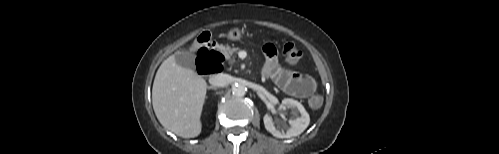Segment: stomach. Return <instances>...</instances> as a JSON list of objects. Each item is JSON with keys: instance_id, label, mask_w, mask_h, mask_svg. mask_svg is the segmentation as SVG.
Masks as SVG:
<instances>
[{"instance_id": "stomach-1", "label": "stomach", "mask_w": 499, "mask_h": 154, "mask_svg": "<svg viewBox=\"0 0 499 154\" xmlns=\"http://www.w3.org/2000/svg\"><path fill=\"white\" fill-rule=\"evenodd\" d=\"M226 37L231 41H239L242 38V32L238 28H232L227 32Z\"/></svg>"}]
</instances>
